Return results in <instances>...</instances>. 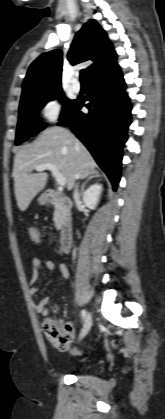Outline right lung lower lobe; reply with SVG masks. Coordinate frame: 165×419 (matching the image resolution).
Returning <instances> with one entry per match:
<instances>
[{
    "mask_svg": "<svg viewBox=\"0 0 165 419\" xmlns=\"http://www.w3.org/2000/svg\"><path fill=\"white\" fill-rule=\"evenodd\" d=\"M118 66L89 81L90 93L78 98L75 107L60 117L58 125L70 126L98 165L109 177L113 188L120 181L122 149L131 123V104ZM85 101L89 113L80 111Z\"/></svg>",
    "mask_w": 165,
    "mask_h": 419,
    "instance_id": "obj_1",
    "label": "right lung lower lobe"
}]
</instances>
